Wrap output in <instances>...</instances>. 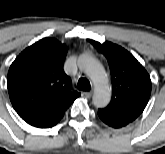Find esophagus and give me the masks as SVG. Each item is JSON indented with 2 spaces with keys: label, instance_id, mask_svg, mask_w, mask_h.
Listing matches in <instances>:
<instances>
[{
  "label": "esophagus",
  "instance_id": "1",
  "mask_svg": "<svg viewBox=\"0 0 165 154\" xmlns=\"http://www.w3.org/2000/svg\"><path fill=\"white\" fill-rule=\"evenodd\" d=\"M92 94H93L92 91H88V92L84 93L85 97H87V98H90L92 96Z\"/></svg>",
  "mask_w": 165,
  "mask_h": 154
}]
</instances>
